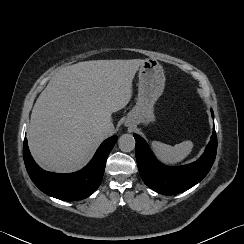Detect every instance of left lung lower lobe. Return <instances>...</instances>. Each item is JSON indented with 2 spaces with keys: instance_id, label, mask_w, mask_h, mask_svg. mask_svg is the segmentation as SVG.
I'll use <instances>...</instances> for the list:
<instances>
[{
  "instance_id": "0a47b994",
  "label": "left lung lower lobe",
  "mask_w": 244,
  "mask_h": 244,
  "mask_svg": "<svg viewBox=\"0 0 244 244\" xmlns=\"http://www.w3.org/2000/svg\"><path fill=\"white\" fill-rule=\"evenodd\" d=\"M134 138L136 140V160L142 180L148 187L164 195L181 193L196 185L207 175L216 156L215 129L212 140L201 158L191 164L178 167L162 165L154 157L144 139L136 134H134Z\"/></svg>"
}]
</instances>
